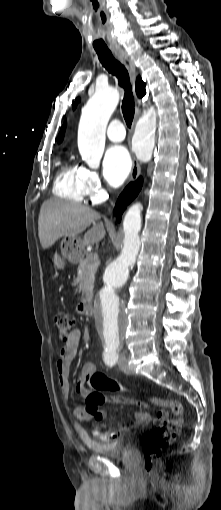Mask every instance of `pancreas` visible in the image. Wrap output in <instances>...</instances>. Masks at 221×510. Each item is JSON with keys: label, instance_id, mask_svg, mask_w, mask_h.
<instances>
[{"label": "pancreas", "instance_id": "pancreas-1", "mask_svg": "<svg viewBox=\"0 0 221 510\" xmlns=\"http://www.w3.org/2000/svg\"><path fill=\"white\" fill-rule=\"evenodd\" d=\"M92 254L93 253L88 254L85 259L80 261L78 266L79 274L75 279V282L79 284V290L82 291L83 296H87L90 293V287L95 280L98 261L91 258Z\"/></svg>", "mask_w": 221, "mask_h": 510}]
</instances>
